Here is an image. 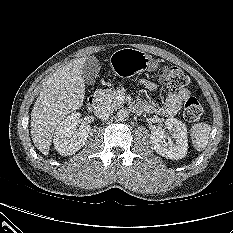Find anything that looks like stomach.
<instances>
[{"label": "stomach", "instance_id": "1", "mask_svg": "<svg viewBox=\"0 0 233 233\" xmlns=\"http://www.w3.org/2000/svg\"><path fill=\"white\" fill-rule=\"evenodd\" d=\"M112 70L123 77L143 71L158 69V61L152 59L145 52L133 48H123L115 51L110 57Z\"/></svg>", "mask_w": 233, "mask_h": 233}]
</instances>
